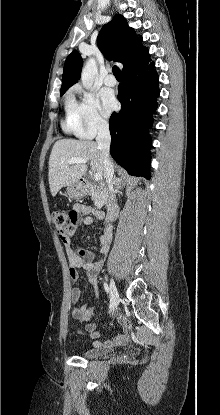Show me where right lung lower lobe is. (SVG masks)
Instances as JSON below:
<instances>
[{
  "instance_id": "1",
  "label": "right lung lower lobe",
  "mask_w": 220,
  "mask_h": 415,
  "mask_svg": "<svg viewBox=\"0 0 220 415\" xmlns=\"http://www.w3.org/2000/svg\"><path fill=\"white\" fill-rule=\"evenodd\" d=\"M149 61L139 68L123 73L118 86L121 110L113 112L109 127L110 154L129 174L149 179L150 137L147 130L152 124V113L157 108L159 76Z\"/></svg>"
}]
</instances>
